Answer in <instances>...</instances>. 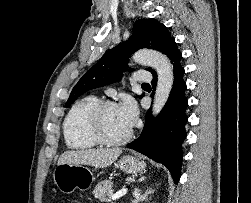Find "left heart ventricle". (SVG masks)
Wrapping results in <instances>:
<instances>
[{"label":"left heart ventricle","instance_id":"left-heart-ventricle-1","mask_svg":"<svg viewBox=\"0 0 251 203\" xmlns=\"http://www.w3.org/2000/svg\"><path fill=\"white\" fill-rule=\"evenodd\" d=\"M103 130L110 138H120L126 135L130 128L121 117L118 107L108 108L103 115Z\"/></svg>","mask_w":251,"mask_h":203}]
</instances>
